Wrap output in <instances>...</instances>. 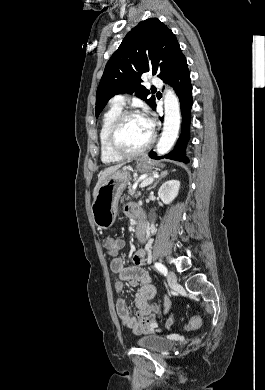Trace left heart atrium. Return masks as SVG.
Here are the masks:
<instances>
[{
	"instance_id": "obj_1",
	"label": "left heart atrium",
	"mask_w": 265,
	"mask_h": 390,
	"mask_svg": "<svg viewBox=\"0 0 265 390\" xmlns=\"http://www.w3.org/2000/svg\"><path fill=\"white\" fill-rule=\"evenodd\" d=\"M139 117H140L144 127L146 128V130L151 133V131L153 129V122H152V120L146 114H142Z\"/></svg>"
}]
</instances>
